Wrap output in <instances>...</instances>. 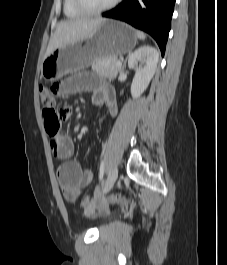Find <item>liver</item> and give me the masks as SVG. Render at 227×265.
I'll list each match as a JSON object with an SVG mask.
<instances>
[{
  "label": "liver",
  "mask_w": 227,
  "mask_h": 265,
  "mask_svg": "<svg viewBox=\"0 0 227 265\" xmlns=\"http://www.w3.org/2000/svg\"><path fill=\"white\" fill-rule=\"evenodd\" d=\"M105 21L106 19L103 18H76L61 21L50 39L44 58L57 48L91 36Z\"/></svg>",
  "instance_id": "obj_1"
}]
</instances>
